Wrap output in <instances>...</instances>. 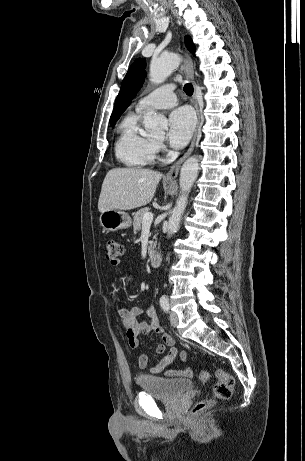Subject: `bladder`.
<instances>
[{
    "label": "bladder",
    "instance_id": "31cf9c89",
    "mask_svg": "<svg viewBox=\"0 0 305 461\" xmlns=\"http://www.w3.org/2000/svg\"><path fill=\"white\" fill-rule=\"evenodd\" d=\"M137 384L142 392L164 400H176L193 387L192 382L188 379L167 378L151 374L138 376Z\"/></svg>",
    "mask_w": 305,
    "mask_h": 461
}]
</instances>
